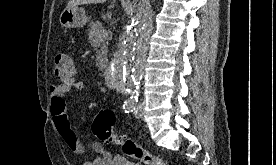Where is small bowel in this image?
Masks as SVG:
<instances>
[{
  "label": "small bowel",
  "instance_id": "obj_1",
  "mask_svg": "<svg viewBox=\"0 0 276 165\" xmlns=\"http://www.w3.org/2000/svg\"><path fill=\"white\" fill-rule=\"evenodd\" d=\"M86 81L83 79L70 78L58 84L50 85V110L59 135L71 151L77 155L87 152L97 153L92 160L83 162L81 165H112L115 162L113 156L107 152L98 141L82 142L71 127L67 115L66 95L74 90H83Z\"/></svg>",
  "mask_w": 276,
  "mask_h": 165
}]
</instances>
